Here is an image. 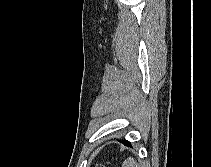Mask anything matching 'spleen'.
Segmentation results:
<instances>
[{
  "instance_id": "spleen-1",
  "label": "spleen",
  "mask_w": 211,
  "mask_h": 167,
  "mask_svg": "<svg viewBox=\"0 0 211 167\" xmlns=\"http://www.w3.org/2000/svg\"><path fill=\"white\" fill-rule=\"evenodd\" d=\"M122 167H139V164L134 160V158L129 157L123 162Z\"/></svg>"
}]
</instances>
